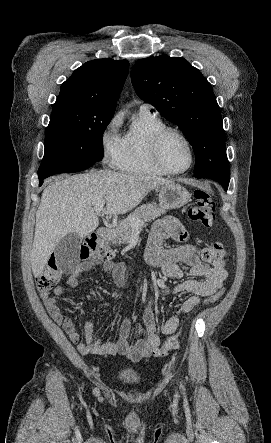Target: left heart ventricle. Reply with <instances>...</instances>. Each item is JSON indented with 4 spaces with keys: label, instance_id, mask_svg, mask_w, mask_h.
Here are the masks:
<instances>
[{
    "label": "left heart ventricle",
    "instance_id": "left-heart-ventricle-1",
    "mask_svg": "<svg viewBox=\"0 0 271 443\" xmlns=\"http://www.w3.org/2000/svg\"><path fill=\"white\" fill-rule=\"evenodd\" d=\"M165 163L174 170L186 168L191 160L190 150L186 142L177 134H169L161 148Z\"/></svg>",
    "mask_w": 271,
    "mask_h": 443
}]
</instances>
